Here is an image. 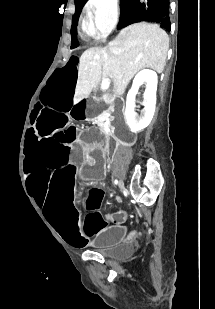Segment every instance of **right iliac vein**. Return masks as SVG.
<instances>
[{
	"instance_id": "1",
	"label": "right iliac vein",
	"mask_w": 215,
	"mask_h": 309,
	"mask_svg": "<svg viewBox=\"0 0 215 309\" xmlns=\"http://www.w3.org/2000/svg\"><path fill=\"white\" fill-rule=\"evenodd\" d=\"M119 187H120L121 190L124 189V184H123L122 181L119 183Z\"/></svg>"
}]
</instances>
